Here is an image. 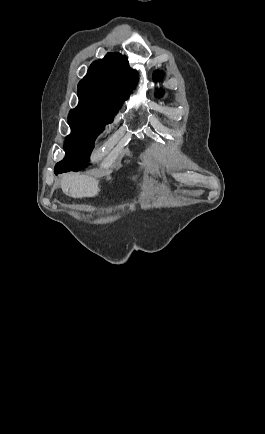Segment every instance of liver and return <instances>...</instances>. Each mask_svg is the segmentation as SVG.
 I'll list each match as a JSON object with an SVG mask.
<instances>
[{"label": "liver", "mask_w": 265, "mask_h": 434, "mask_svg": "<svg viewBox=\"0 0 265 434\" xmlns=\"http://www.w3.org/2000/svg\"><path fill=\"white\" fill-rule=\"evenodd\" d=\"M63 194L70 198H94L100 192L98 180L82 174H63L60 182Z\"/></svg>", "instance_id": "6515ba94"}]
</instances>
